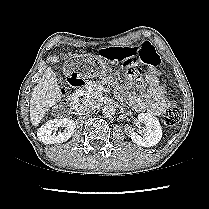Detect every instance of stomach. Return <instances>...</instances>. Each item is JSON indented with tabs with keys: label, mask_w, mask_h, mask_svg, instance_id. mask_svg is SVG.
<instances>
[{
	"label": "stomach",
	"mask_w": 209,
	"mask_h": 209,
	"mask_svg": "<svg viewBox=\"0 0 209 209\" xmlns=\"http://www.w3.org/2000/svg\"><path fill=\"white\" fill-rule=\"evenodd\" d=\"M64 68L71 75H79L84 79H95L105 75L108 62L104 57L92 58L90 56H71L66 59Z\"/></svg>",
	"instance_id": "1"
}]
</instances>
